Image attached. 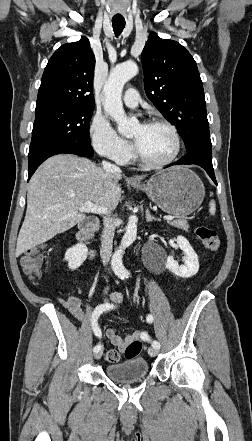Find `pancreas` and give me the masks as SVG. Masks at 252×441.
Here are the masks:
<instances>
[{"instance_id": "1", "label": "pancreas", "mask_w": 252, "mask_h": 441, "mask_svg": "<svg viewBox=\"0 0 252 441\" xmlns=\"http://www.w3.org/2000/svg\"><path fill=\"white\" fill-rule=\"evenodd\" d=\"M169 224L171 226L178 228V229H182L185 232L189 231V225H188L187 221H185V220H174V221L169 222Z\"/></svg>"}]
</instances>
